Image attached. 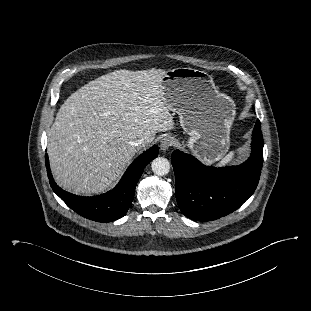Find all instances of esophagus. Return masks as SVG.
<instances>
[{"mask_svg":"<svg viewBox=\"0 0 311 311\" xmlns=\"http://www.w3.org/2000/svg\"><path fill=\"white\" fill-rule=\"evenodd\" d=\"M174 144H175V139L173 137L165 136L160 142V147L163 151H167Z\"/></svg>","mask_w":311,"mask_h":311,"instance_id":"34e87169","label":"esophagus"}]
</instances>
